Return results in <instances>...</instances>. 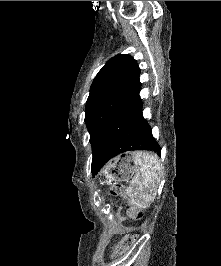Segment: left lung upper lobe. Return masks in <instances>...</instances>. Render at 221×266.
<instances>
[{
    "label": "left lung upper lobe",
    "mask_w": 221,
    "mask_h": 266,
    "mask_svg": "<svg viewBox=\"0 0 221 266\" xmlns=\"http://www.w3.org/2000/svg\"><path fill=\"white\" fill-rule=\"evenodd\" d=\"M139 75L136 60L127 54L111 58L96 75L85 110L93 156L116 112L141 87Z\"/></svg>",
    "instance_id": "5c2ea615"
}]
</instances>
